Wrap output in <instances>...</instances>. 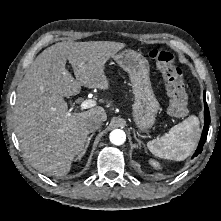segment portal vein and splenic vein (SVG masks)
Returning <instances> with one entry per match:
<instances>
[{
    "instance_id": "portal-vein-and-splenic-vein-1",
    "label": "portal vein and splenic vein",
    "mask_w": 221,
    "mask_h": 221,
    "mask_svg": "<svg viewBox=\"0 0 221 221\" xmlns=\"http://www.w3.org/2000/svg\"><path fill=\"white\" fill-rule=\"evenodd\" d=\"M96 106V101L92 100V99H87L84 100L81 104H80V108L83 109H88V108H92Z\"/></svg>"
}]
</instances>
